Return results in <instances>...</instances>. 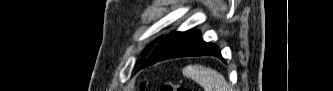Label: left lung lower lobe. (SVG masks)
Masks as SVG:
<instances>
[{"label":"left lung lower lobe","instance_id":"obj_1","mask_svg":"<svg viewBox=\"0 0 333 91\" xmlns=\"http://www.w3.org/2000/svg\"><path fill=\"white\" fill-rule=\"evenodd\" d=\"M204 55L220 57L223 60L220 49L204 42L199 31L175 32L155 48L141 68L170 58Z\"/></svg>","mask_w":333,"mask_h":91}]
</instances>
